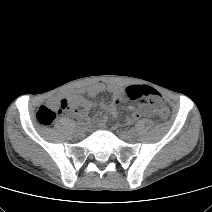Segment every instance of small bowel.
Segmentation results:
<instances>
[{"instance_id":"small-bowel-1","label":"small bowel","mask_w":212,"mask_h":212,"mask_svg":"<svg viewBox=\"0 0 212 212\" xmlns=\"http://www.w3.org/2000/svg\"><path fill=\"white\" fill-rule=\"evenodd\" d=\"M106 92H109L112 95V101L109 103L101 104V108L109 114L117 117L118 105L127 96L126 90L114 85L106 86L103 83H97L85 89V93L90 98L98 97ZM67 102L69 113L73 118L79 119L81 121L89 120V110L94 105V102L91 99L85 97L82 94L74 93L68 97ZM79 107H82V109ZM152 113V107L145 103H141L138 109H130V114L125 118V121L132 122L139 119L141 116H150ZM104 122H106V118L102 119V123Z\"/></svg>"}]
</instances>
